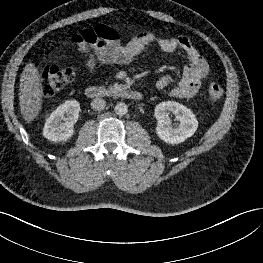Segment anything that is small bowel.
<instances>
[{"label":"small bowel","instance_id":"1","mask_svg":"<svg viewBox=\"0 0 263 263\" xmlns=\"http://www.w3.org/2000/svg\"><path fill=\"white\" fill-rule=\"evenodd\" d=\"M71 40L77 46L89 73H94L104 65L128 64L150 46H157L167 53L181 50L189 64L183 69L177 85L169 91V95L176 98L195 96L201 87V80L209 73L208 62L185 36L163 38L152 32H140L126 44H122L114 28L100 23L72 35ZM173 80L172 76L165 75L157 80L155 86L158 90H163Z\"/></svg>","mask_w":263,"mask_h":263}]
</instances>
